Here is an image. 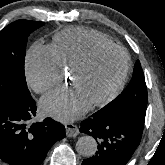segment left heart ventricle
I'll return each instance as SVG.
<instances>
[{"mask_svg":"<svg viewBox=\"0 0 165 165\" xmlns=\"http://www.w3.org/2000/svg\"><path fill=\"white\" fill-rule=\"evenodd\" d=\"M124 67L118 50H103L85 69L70 73V83L91 103L103 98L116 84Z\"/></svg>","mask_w":165,"mask_h":165,"instance_id":"b2bd125f","label":"left heart ventricle"}]
</instances>
